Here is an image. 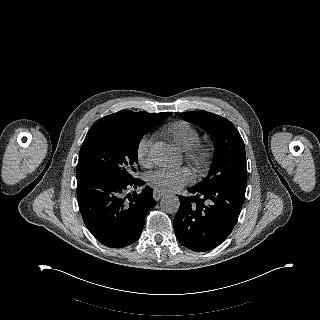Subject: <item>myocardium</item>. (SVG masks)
<instances>
[{"label":"myocardium","instance_id":"1","mask_svg":"<svg viewBox=\"0 0 320 320\" xmlns=\"http://www.w3.org/2000/svg\"><path fill=\"white\" fill-rule=\"evenodd\" d=\"M186 157L195 166L200 167L204 164L205 150L200 145H194L190 149L186 150Z\"/></svg>","mask_w":320,"mask_h":320}]
</instances>
